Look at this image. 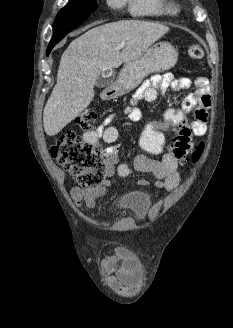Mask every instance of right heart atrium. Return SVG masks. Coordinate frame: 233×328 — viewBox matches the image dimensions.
<instances>
[{"mask_svg": "<svg viewBox=\"0 0 233 328\" xmlns=\"http://www.w3.org/2000/svg\"><path fill=\"white\" fill-rule=\"evenodd\" d=\"M107 1L112 7L119 8L123 5L125 0H107Z\"/></svg>", "mask_w": 233, "mask_h": 328, "instance_id": "d8ad5b80", "label": "right heart atrium"}]
</instances>
